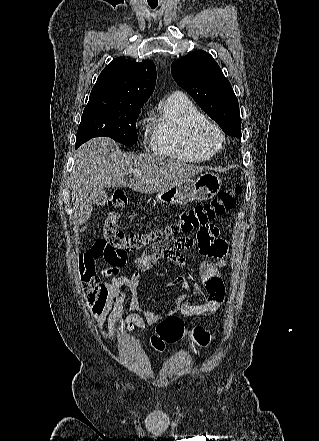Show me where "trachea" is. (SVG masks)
Here are the masks:
<instances>
[{
  "label": "trachea",
  "instance_id": "trachea-1",
  "mask_svg": "<svg viewBox=\"0 0 319 441\" xmlns=\"http://www.w3.org/2000/svg\"><path fill=\"white\" fill-rule=\"evenodd\" d=\"M156 7V5H151V8H155Z\"/></svg>",
  "mask_w": 319,
  "mask_h": 441
}]
</instances>
